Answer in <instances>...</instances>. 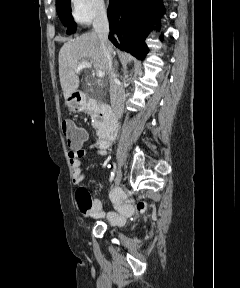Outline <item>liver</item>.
Instances as JSON below:
<instances>
[{
    "label": "liver",
    "instance_id": "1",
    "mask_svg": "<svg viewBox=\"0 0 240 288\" xmlns=\"http://www.w3.org/2000/svg\"><path fill=\"white\" fill-rule=\"evenodd\" d=\"M112 48V53H113ZM82 61L93 64L94 69L107 72V62L100 40L95 32L85 33L65 43L59 52V77L65 100L76 93L80 80L75 68Z\"/></svg>",
    "mask_w": 240,
    "mask_h": 288
}]
</instances>
